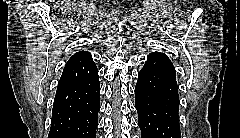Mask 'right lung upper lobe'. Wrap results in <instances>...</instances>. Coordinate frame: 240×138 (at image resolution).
Masks as SVG:
<instances>
[{"label": "right lung upper lobe", "instance_id": "obj_1", "mask_svg": "<svg viewBox=\"0 0 240 138\" xmlns=\"http://www.w3.org/2000/svg\"><path fill=\"white\" fill-rule=\"evenodd\" d=\"M97 73L98 69L93 62L91 54L88 51L76 52L66 63L58 83V88L78 84Z\"/></svg>", "mask_w": 240, "mask_h": 138}]
</instances>
